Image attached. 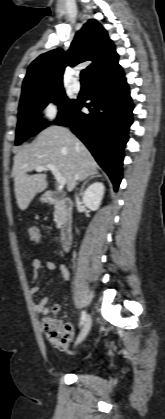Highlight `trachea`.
Instances as JSON below:
<instances>
[{"label": "trachea", "instance_id": "trachea-1", "mask_svg": "<svg viewBox=\"0 0 165 419\" xmlns=\"http://www.w3.org/2000/svg\"><path fill=\"white\" fill-rule=\"evenodd\" d=\"M86 75H87L86 70H82L80 74V79L82 83L86 82Z\"/></svg>", "mask_w": 165, "mask_h": 419}]
</instances>
